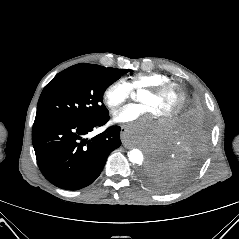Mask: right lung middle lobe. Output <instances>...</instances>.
<instances>
[{
	"label": "right lung middle lobe",
	"mask_w": 239,
	"mask_h": 239,
	"mask_svg": "<svg viewBox=\"0 0 239 239\" xmlns=\"http://www.w3.org/2000/svg\"><path fill=\"white\" fill-rule=\"evenodd\" d=\"M129 70L89 69L77 65L57 74L43 89L35 119L97 120L109 114L105 89Z\"/></svg>",
	"instance_id": "right-lung-middle-lobe-1"
}]
</instances>
